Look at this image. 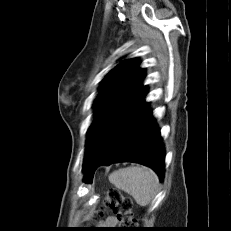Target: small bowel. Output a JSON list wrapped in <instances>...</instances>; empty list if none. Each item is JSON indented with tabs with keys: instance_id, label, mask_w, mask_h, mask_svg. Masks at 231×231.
<instances>
[{
	"instance_id": "small-bowel-1",
	"label": "small bowel",
	"mask_w": 231,
	"mask_h": 231,
	"mask_svg": "<svg viewBox=\"0 0 231 231\" xmlns=\"http://www.w3.org/2000/svg\"><path fill=\"white\" fill-rule=\"evenodd\" d=\"M106 223H107V225L114 226L118 223V220L116 217L110 216L106 219Z\"/></svg>"
}]
</instances>
